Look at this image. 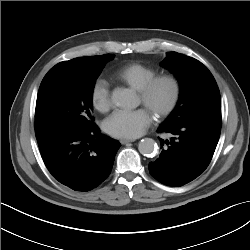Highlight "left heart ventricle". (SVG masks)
<instances>
[{
	"mask_svg": "<svg viewBox=\"0 0 250 250\" xmlns=\"http://www.w3.org/2000/svg\"><path fill=\"white\" fill-rule=\"evenodd\" d=\"M170 96L171 87L168 84H160L155 88L146 103L142 102L140 96H138V98L140 103L144 104L152 114H155L159 109H161L167 104L170 99Z\"/></svg>",
	"mask_w": 250,
	"mask_h": 250,
	"instance_id": "obj_1",
	"label": "left heart ventricle"
}]
</instances>
